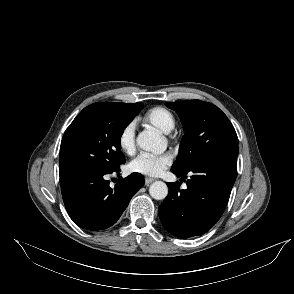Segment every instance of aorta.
<instances>
[{
	"label": "aorta",
	"instance_id": "762f6f07",
	"mask_svg": "<svg viewBox=\"0 0 294 294\" xmlns=\"http://www.w3.org/2000/svg\"><path fill=\"white\" fill-rule=\"evenodd\" d=\"M163 140L161 136L153 130H144L137 137L138 146L149 152H158L161 150ZM149 193L156 200H163L168 195V187L162 181H155L149 188Z\"/></svg>",
	"mask_w": 294,
	"mask_h": 294
}]
</instances>
